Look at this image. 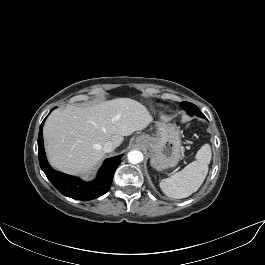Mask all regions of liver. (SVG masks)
<instances>
[{
    "label": "liver",
    "instance_id": "obj_1",
    "mask_svg": "<svg viewBox=\"0 0 265 265\" xmlns=\"http://www.w3.org/2000/svg\"><path fill=\"white\" fill-rule=\"evenodd\" d=\"M152 120L147 108L130 98L55 110L43 129L49 162L62 172L86 176L103 158L106 142L118 147L124 136L145 129Z\"/></svg>",
    "mask_w": 265,
    "mask_h": 265
}]
</instances>
